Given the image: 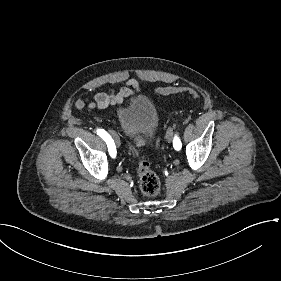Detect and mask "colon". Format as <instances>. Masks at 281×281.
Segmentation results:
<instances>
[{"mask_svg": "<svg viewBox=\"0 0 281 281\" xmlns=\"http://www.w3.org/2000/svg\"><path fill=\"white\" fill-rule=\"evenodd\" d=\"M178 87H170V88H159L157 92L163 95H168L173 91H177ZM181 92H187L189 94H193L197 97V94L194 93L193 89H189L187 87H181ZM138 174H139V187L141 192L148 197L156 196L161 189V181L159 179L158 174L153 171L150 167L149 162L146 158L142 157L140 164L138 166Z\"/></svg>", "mask_w": 281, "mask_h": 281, "instance_id": "obj_1", "label": "colon"}]
</instances>
